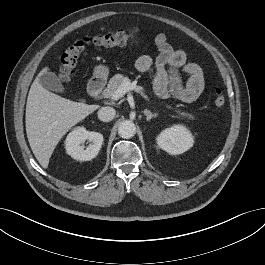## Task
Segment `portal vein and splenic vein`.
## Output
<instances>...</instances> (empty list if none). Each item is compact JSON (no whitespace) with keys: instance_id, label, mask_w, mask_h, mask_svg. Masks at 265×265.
Returning <instances> with one entry per match:
<instances>
[{"instance_id":"portal-vein-and-splenic-vein-1","label":"portal vein and splenic vein","mask_w":265,"mask_h":265,"mask_svg":"<svg viewBox=\"0 0 265 265\" xmlns=\"http://www.w3.org/2000/svg\"><path fill=\"white\" fill-rule=\"evenodd\" d=\"M130 90H135L140 93L145 99L149 100L148 96L142 91L141 87L137 86L134 83H131L129 79H125L122 85L114 92L111 99L118 100L123 97Z\"/></svg>"}]
</instances>
